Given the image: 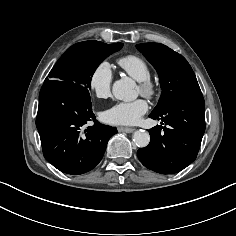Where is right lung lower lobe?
<instances>
[{
  "instance_id": "1",
  "label": "right lung lower lobe",
  "mask_w": 236,
  "mask_h": 236,
  "mask_svg": "<svg viewBox=\"0 0 236 236\" xmlns=\"http://www.w3.org/2000/svg\"><path fill=\"white\" fill-rule=\"evenodd\" d=\"M94 121L93 126H88ZM36 126L43 155L61 172L78 175L92 170L102 159L116 127L100 124L90 98L70 83L49 81L39 94Z\"/></svg>"
}]
</instances>
